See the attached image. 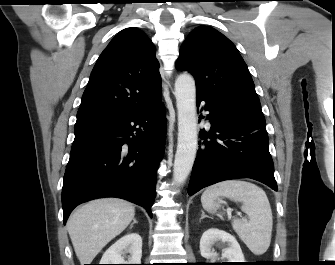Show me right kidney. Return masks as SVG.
<instances>
[{
	"label": "right kidney",
	"instance_id": "right-kidney-1",
	"mask_svg": "<svg viewBox=\"0 0 335 265\" xmlns=\"http://www.w3.org/2000/svg\"><path fill=\"white\" fill-rule=\"evenodd\" d=\"M130 254L127 260L124 256ZM142 238L128 233L112 244L101 258L100 264H141Z\"/></svg>",
	"mask_w": 335,
	"mask_h": 265
}]
</instances>
